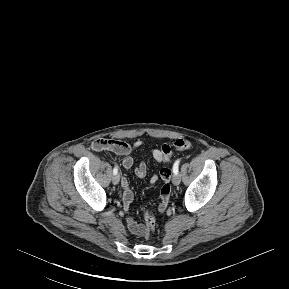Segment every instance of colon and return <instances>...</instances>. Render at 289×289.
Wrapping results in <instances>:
<instances>
[{
    "instance_id": "colon-1",
    "label": "colon",
    "mask_w": 289,
    "mask_h": 289,
    "mask_svg": "<svg viewBox=\"0 0 289 289\" xmlns=\"http://www.w3.org/2000/svg\"><path fill=\"white\" fill-rule=\"evenodd\" d=\"M190 147H191V142L188 139L186 138L176 139L172 144H164L161 146L160 148L161 157L164 162H167L170 159L173 151L186 150ZM144 220H145V228H146L147 235H150L155 230V219L150 211L145 212Z\"/></svg>"
}]
</instances>
